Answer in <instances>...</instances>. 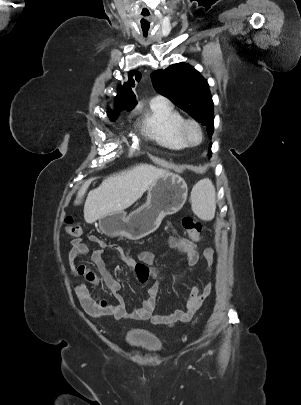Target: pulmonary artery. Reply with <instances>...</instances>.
Returning a JSON list of instances; mask_svg holds the SVG:
<instances>
[{"label": "pulmonary artery", "mask_w": 301, "mask_h": 405, "mask_svg": "<svg viewBox=\"0 0 301 405\" xmlns=\"http://www.w3.org/2000/svg\"><path fill=\"white\" fill-rule=\"evenodd\" d=\"M153 101L161 102V103H168V100L161 96L155 97Z\"/></svg>", "instance_id": "obj_1"}]
</instances>
